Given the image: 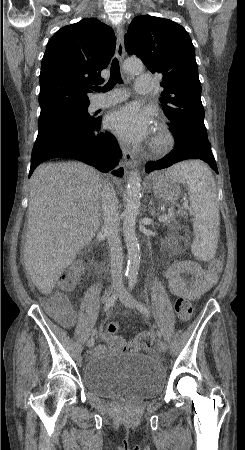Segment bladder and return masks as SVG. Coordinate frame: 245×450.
I'll return each mask as SVG.
<instances>
[{
	"label": "bladder",
	"mask_w": 245,
	"mask_h": 450,
	"mask_svg": "<svg viewBox=\"0 0 245 450\" xmlns=\"http://www.w3.org/2000/svg\"><path fill=\"white\" fill-rule=\"evenodd\" d=\"M82 381L98 397L128 393L135 397L159 395L165 380L163 367L143 354H106L88 360L82 367Z\"/></svg>",
	"instance_id": "31cf9c89"
}]
</instances>
